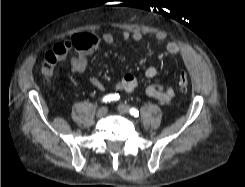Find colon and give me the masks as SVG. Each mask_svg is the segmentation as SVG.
<instances>
[{"label":"colon","instance_id":"1","mask_svg":"<svg viewBox=\"0 0 245 187\" xmlns=\"http://www.w3.org/2000/svg\"><path fill=\"white\" fill-rule=\"evenodd\" d=\"M80 41L77 37H74L71 42L60 43L53 48V51L49 53L43 63V72L46 76H51L53 73L54 65L67 56L72 46H79ZM179 86L182 91H186L189 87V75L187 72L182 71L179 75Z\"/></svg>","mask_w":245,"mask_h":187}]
</instances>
